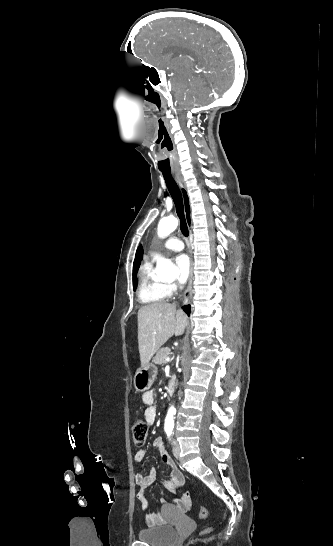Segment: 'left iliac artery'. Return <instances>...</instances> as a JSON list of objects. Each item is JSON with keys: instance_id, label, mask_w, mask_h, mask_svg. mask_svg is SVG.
Wrapping results in <instances>:
<instances>
[{"instance_id": "44dca946", "label": "left iliac artery", "mask_w": 333, "mask_h": 546, "mask_svg": "<svg viewBox=\"0 0 333 546\" xmlns=\"http://www.w3.org/2000/svg\"><path fill=\"white\" fill-rule=\"evenodd\" d=\"M166 432H167L168 438L170 439L171 434H172V430H168V431H166Z\"/></svg>"}]
</instances>
